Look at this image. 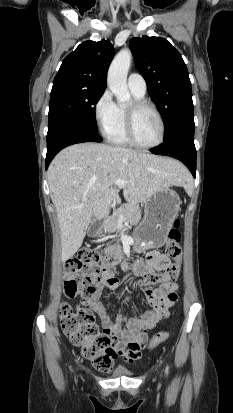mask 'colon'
Instances as JSON below:
<instances>
[{
  "label": "colon",
  "mask_w": 233,
  "mask_h": 413,
  "mask_svg": "<svg viewBox=\"0 0 233 413\" xmlns=\"http://www.w3.org/2000/svg\"><path fill=\"white\" fill-rule=\"evenodd\" d=\"M180 221L176 220L168 233L166 254L173 260L161 273L145 275L140 285L150 286L174 281L179 272L182 259ZM115 258H104L98 251L90 248L82 249L77 257L69 259L64 266V291L69 297L81 295L84 298L93 296L104 279L116 278ZM177 296V295H176ZM61 327L64 334L78 346H82L83 354L91 359L94 365L105 372L112 369L116 353L111 346L108 335L100 333L91 310L79 307L72 308L64 304L61 309ZM169 333L158 332L150 341L153 349L166 341Z\"/></svg>",
  "instance_id": "5ec220e1"
}]
</instances>
